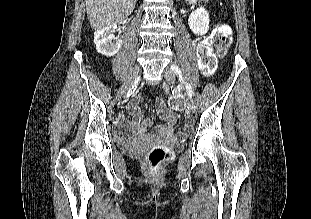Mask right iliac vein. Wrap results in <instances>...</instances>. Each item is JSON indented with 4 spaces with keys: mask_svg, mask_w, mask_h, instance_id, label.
Listing matches in <instances>:
<instances>
[{
    "mask_svg": "<svg viewBox=\"0 0 311 219\" xmlns=\"http://www.w3.org/2000/svg\"><path fill=\"white\" fill-rule=\"evenodd\" d=\"M138 74H139V67H134L132 71L129 73V75L127 76L122 87L118 91V98H121V96H123L128 91V89L131 87V85L136 80Z\"/></svg>",
    "mask_w": 311,
    "mask_h": 219,
    "instance_id": "right-iliac-vein-1",
    "label": "right iliac vein"
}]
</instances>
